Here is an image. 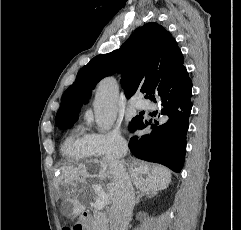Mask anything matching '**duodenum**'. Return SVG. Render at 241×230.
Instances as JSON below:
<instances>
[{
  "mask_svg": "<svg viewBox=\"0 0 241 230\" xmlns=\"http://www.w3.org/2000/svg\"><path fill=\"white\" fill-rule=\"evenodd\" d=\"M88 219H89L88 214H87V213H84V214L82 215V222H86Z\"/></svg>",
  "mask_w": 241,
  "mask_h": 230,
  "instance_id": "410a0bca",
  "label": "duodenum"
}]
</instances>
